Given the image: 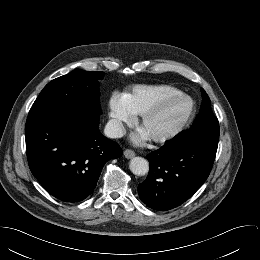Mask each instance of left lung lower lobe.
I'll return each mask as SVG.
<instances>
[{
  "instance_id": "0a47b994",
  "label": "left lung lower lobe",
  "mask_w": 260,
  "mask_h": 260,
  "mask_svg": "<svg viewBox=\"0 0 260 260\" xmlns=\"http://www.w3.org/2000/svg\"><path fill=\"white\" fill-rule=\"evenodd\" d=\"M217 147L218 144L203 141H167L147 155L150 171L138 186L140 199L158 211L184 203L208 178Z\"/></svg>"
}]
</instances>
